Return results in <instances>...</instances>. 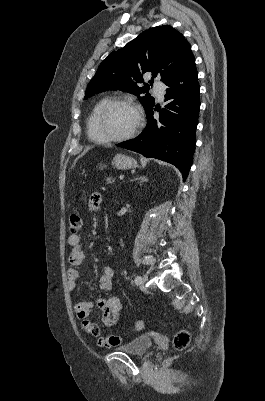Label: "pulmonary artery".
Masks as SVG:
<instances>
[{"mask_svg":"<svg viewBox=\"0 0 265 401\" xmlns=\"http://www.w3.org/2000/svg\"><path fill=\"white\" fill-rule=\"evenodd\" d=\"M153 87H154V89L157 90L156 95H157L158 99L162 100L163 99V90H161V87H162L161 82H159V81L154 82Z\"/></svg>","mask_w":265,"mask_h":401,"instance_id":"pulmonary-artery-1","label":"pulmonary artery"}]
</instances>
